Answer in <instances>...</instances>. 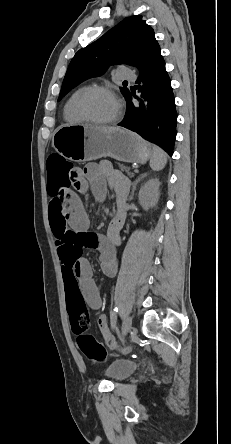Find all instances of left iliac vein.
I'll list each match as a JSON object with an SVG mask.
<instances>
[{
	"label": "left iliac vein",
	"instance_id": "4c4485c4",
	"mask_svg": "<svg viewBox=\"0 0 231 444\" xmlns=\"http://www.w3.org/2000/svg\"><path fill=\"white\" fill-rule=\"evenodd\" d=\"M131 328H132V320H131V317L127 316L123 322L122 333L120 335L121 341L124 340L125 336L131 330Z\"/></svg>",
	"mask_w": 231,
	"mask_h": 444
}]
</instances>
